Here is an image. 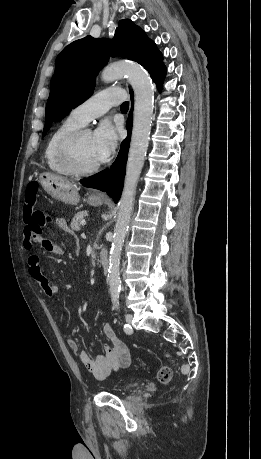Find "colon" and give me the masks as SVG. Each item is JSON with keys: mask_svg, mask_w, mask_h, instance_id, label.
I'll use <instances>...</instances> for the list:
<instances>
[{"mask_svg": "<svg viewBox=\"0 0 261 459\" xmlns=\"http://www.w3.org/2000/svg\"><path fill=\"white\" fill-rule=\"evenodd\" d=\"M37 196L38 183H29L25 191L23 218L19 220V225L23 227L20 232L22 238H35L37 233H43L44 229L52 223V218L49 214L34 210ZM157 377L159 382L167 384L172 378L171 368L168 366L160 367Z\"/></svg>", "mask_w": 261, "mask_h": 459, "instance_id": "colon-1", "label": "colon"}]
</instances>
